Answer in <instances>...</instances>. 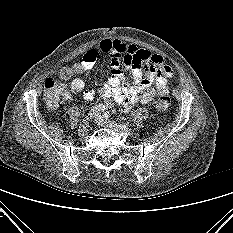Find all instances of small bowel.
<instances>
[{"instance_id":"small-bowel-1","label":"small bowel","mask_w":233,"mask_h":233,"mask_svg":"<svg viewBox=\"0 0 233 233\" xmlns=\"http://www.w3.org/2000/svg\"><path fill=\"white\" fill-rule=\"evenodd\" d=\"M101 53L109 57L111 64V77L103 85L105 95L107 98H113L121 111L127 112L138 103L148 104L156 93H168L167 79L173 77L174 72L170 66L165 64L162 56L117 39H105L84 54L81 71L85 75L90 73ZM121 63L131 69L132 85L122 84L124 75L120 70ZM83 90V80L76 78L71 82V92ZM95 94V89L89 87L83 91V98L91 101Z\"/></svg>"}]
</instances>
